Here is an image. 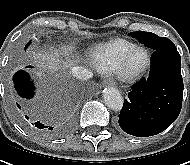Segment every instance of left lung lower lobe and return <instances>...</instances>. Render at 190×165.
<instances>
[{
    "mask_svg": "<svg viewBox=\"0 0 190 165\" xmlns=\"http://www.w3.org/2000/svg\"><path fill=\"white\" fill-rule=\"evenodd\" d=\"M150 69L147 79L132 86L119 115L120 127L133 136L147 137L164 131L181 110V57L172 42L154 50Z\"/></svg>",
    "mask_w": 190,
    "mask_h": 165,
    "instance_id": "0a47b994",
    "label": "left lung lower lobe"
}]
</instances>
